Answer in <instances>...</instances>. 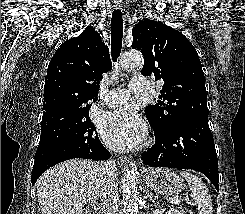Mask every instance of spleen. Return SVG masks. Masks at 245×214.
<instances>
[{"label":"spleen","mask_w":245,"mask_h":214,"mask_svg":"<svg viewBox=\"0 0 245 214\" xmlns=\"http://www.w3.org/2000/svg\"><path fill=\"white\" fill-rule=\"evenodd\" d=\"M181 175L186 179L191 196L198 205V214H213L211 196L203 181L188 171H182Z\"/></svg>","instance_id":"obj_1"}]
</instances>
